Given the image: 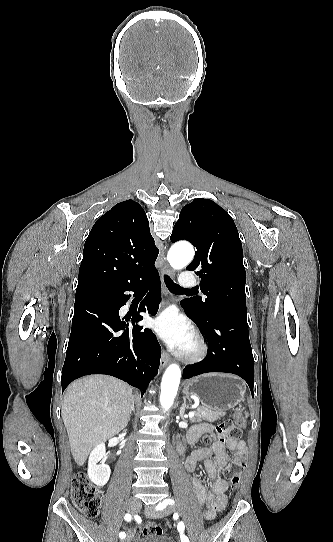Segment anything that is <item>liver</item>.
<instances>
[{
    "label": "liver",
    "instance_id": "6515ba94",
    "mask_svg": "<svg viewBox=\"0 0 333 542\" xmlns=\"http://www.w3.org/2000/svg\"><path fill=\"white\" fill-rule=\"evenodd\" d=\"M133 400L131 386L111 376L93 374L70 384L61 414L77 466L94 446L126 428Z\"/></svg>",
    "mask_w": 333,
    "mask_h": 542
}]
</instances>
